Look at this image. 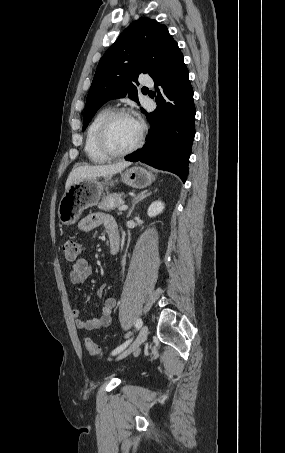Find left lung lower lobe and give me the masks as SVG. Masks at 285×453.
<instances>
[{"instance_id":"obj_1","label":"left lung lower lobe","mask_w":285,"mask_h":453,"mask_svg":"<svg viewBox=\"0 0 285 453\" xmlns=\"http://www.w3.org/2000/svg\"><path fill=\"white\" fill-rule=\"evenodd\" d=\"M157 108L147 114L151 129L142 149L125 157L178 175H188V161L195 136V106L189 73L176 45L161 69L152 77ZM159 86V88H158Z\"/></svg>"}]
</instances>
